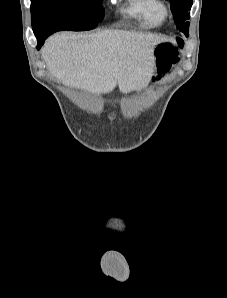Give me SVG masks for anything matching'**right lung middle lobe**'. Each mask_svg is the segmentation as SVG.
I'll list each match as a JSON object with an SVG mask.
<instances>
[{"mask_svg":"<svg viewBox=\"0 0 227 298\" xmlns=\"http://www.w3.org/2000/svg\"><path fill=\"white\" fill-rule=\"evenodd\" d=\"M101 3L102 0H31L34 34L93 29L104 17Z\"/></svg>","mask_w":227,"mask_h":298,"instance_id":"right-lung-middle-lobe-1","label":"right lung middle lobe"}]
</instances>
